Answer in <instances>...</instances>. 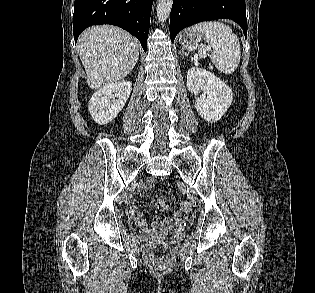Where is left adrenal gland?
I'll return each mask as SVG.
<instances>
[{"mask_svg": "<svg viewBox=\"0 0 315 293\" xmlns=\"http://www.w3.org/2000/svg\"><path fill=\"white\" fill-rule=\"evenodd\" d=\"M179 55H181V56L186 55V56H187V54L184 52V50H182L181 52H179Z\"/></svg>", "mask_w": 315, "mask_h": 293, "instance_id": "a2214340", "label": "left adrenal gland"}]
</instances>
